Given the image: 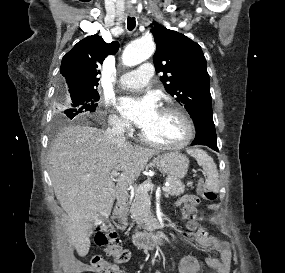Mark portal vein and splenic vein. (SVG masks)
I'll use <instances>...</instances> for the list:
<instances>
[{
  "label": "portal vein and splenic vein",
  "mask_w": 285,
  "mask_h": 273,
  "mask_svg": "<svg viewBox=\"0 0 285 273\" xmlns=\"http://www.w3.org/2000/svg\"><path fill=\"white\" fill-rule=\"evenodd\" d=\"M119 175V173L116 171V170H113L111 172V177L115 178ZM154 188V185L152 183H144L142 184L141 186H139V189L142 190V191H149V190H153ZM162 190L164 192H169L170 191V188H169V185H166L165 187L162 188Z\"/></svg>",
  "instance_id": "18ae733b"
}]
</instances>
